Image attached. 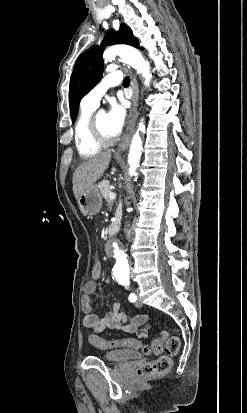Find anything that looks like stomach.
<instances>
[{
  "label": "stomach",
  "mask_w": 247,
  "mask_h": 413,
  "mask_svg": "<svg viewBox=\"0 0 247 413\" xmlns=\"http://www.w3.org/2000/svg\"><path fill=\"white\" fill-rule=\"evenodd\" d=\"M102 196L99 192V188L93 184L90 186L86 192L80 194L77 198L78 207L84 215V217H91V215H96L102 207Z\"/></svg>",
  "instance_id": "1"
}]
</instances>
